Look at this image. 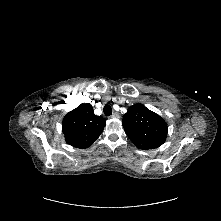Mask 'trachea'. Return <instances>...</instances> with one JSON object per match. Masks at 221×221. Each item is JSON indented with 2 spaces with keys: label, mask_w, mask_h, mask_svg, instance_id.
Here are the masks:
<instances>
[{
  "label": "trachea",
  "mask_w": 221,
  "mask_h": 221,
  "mask_svg": "<svg viewBox=\"0 0 221 221\" xmlns=\"http://www.w3.org/2000/svg\"><path fill=\"white\" fill-rule=\"evenodd\" d=\"M103 112L106 116L112 115V107L110 105H105Z\"/></svg>",
  "instance_id": "3493384b"
}]
</instances>
